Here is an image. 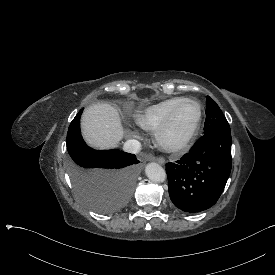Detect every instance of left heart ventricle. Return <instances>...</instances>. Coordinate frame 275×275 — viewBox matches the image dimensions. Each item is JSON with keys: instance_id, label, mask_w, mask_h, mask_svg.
<instances>
[{"instance_id": "obj_1", "label": "left heart ventricle", "mask_w": 275, "mask_h": 275, "mask_svg": "<svg viewBox=\"0 0 275 275\" xmlns=\"http://www.w3.org/2000/svg\"><path fill=\"white\" fill-rule=\"evenodd\" d=\"M197 116V107L193 103H184L178 106L173 119V134L181 136L185 134Z\"/></svg>"}]
</instances>
